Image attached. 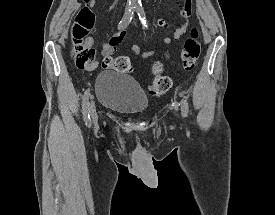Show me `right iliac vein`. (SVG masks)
Wrapping results in <instances>:
<instances>
[{"label": "right iliac vein", "mask_w": 275, "mask_h": 215, "mask_svg": "<svg viewBox=\"0 0 275 215\" xmlns=\"http://www.w3.org/2000/svg\"><path fill=\"white\" fill-rule=\"evenodd\" d=\"M89 111L91 113L93 121L96 122L97 121V113H96V107H95L94 101H91V103L89 105Z\"/></svg>", "instance_id": "right-iliac-vein-1"}]
</instances>
